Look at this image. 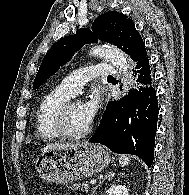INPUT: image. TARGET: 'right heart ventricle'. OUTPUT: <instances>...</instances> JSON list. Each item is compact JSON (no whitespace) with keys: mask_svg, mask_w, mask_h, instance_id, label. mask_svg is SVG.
Here are the masks:
<instances>
[{"mask_svg":"<svg viewBox=\"0 0 189 195\" xmlns=\"http://www.w3.org/2000/svg\"><path fill=\"white\" fill-rule=\"evenodd\" d=\"M71 97L59 85L42 99L35 115V129L39 138L53 141L61 137L55 125V117L59 107Z\"/></svg>","mask_w":189,"mask_h":195,"instance_id":"right-heart-ventricle-1","label":"right heart ventricle"}]
</instances>
